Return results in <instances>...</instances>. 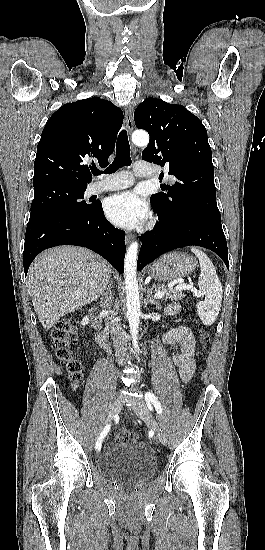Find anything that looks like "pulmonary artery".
Segmentation results:
<instances>
[{
  "mask_svg": "<svg viewBox=\"0 0 265 550\" xmlns=\"http://www.w3.org/2000/svg\"><path fill=\"white\" fill-rule=\"evenodd\" d=\"M135 172L138 176H151L153 172L145 167V162L137 161ZM134 183V177L127 171L114 173L109 179L94 182L89 185L87 193L92 195L100 192L114 191L127 188Z\"/></svg>",
  "mask_w": 265,
  "mask_h": 550,
  "instance_id": "e3ab8cb5",
  "label": "pulmonary artery"
}]
</instances>
